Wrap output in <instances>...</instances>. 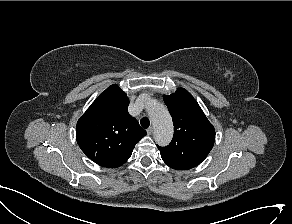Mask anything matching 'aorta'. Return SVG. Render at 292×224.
I'll use <instances>...</instances> for the list:
<instances>
[{
    "label": "aorta",
    "mask_w": 292,
    "mask_h": 224,
    "mask_svg": "<svg viewBox=\"0 0 292 224\" xmlns=\"http://www.w3.org/2000/svg\"><path fill=\"white\" fill-rule=\"evenodd\" d=\"M147 110L154 126V139L160 146L170 143L173 136V122L167 108L158 100L152 99L147 103Z\"/></svg>",
    "instance_id": "obj_1"
}]
</instances>
